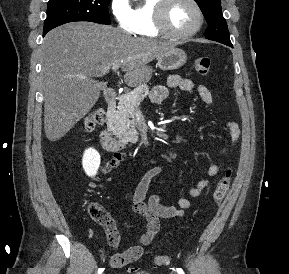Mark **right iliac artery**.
I'll list each match as a JSON object with an SVG mask.
<instances>
[{
	"mask_svg": "<svg viewBox=\"0 0 289 274\" xmlns=\"http://www.w3.org/2000/svg\"><path fill=\"white\" fill-rule=\"evenodd\" d=\"M103 271H104V268H99L98 269V274H102Z\"/></svg>",
	"mask_w": 289,
	"mask_h": 274,
	"instance_id": "82829eb1",
	"label": "right iliac artery"
}]
</instances>
